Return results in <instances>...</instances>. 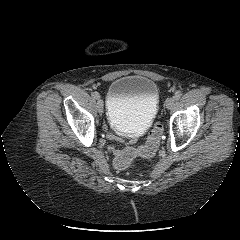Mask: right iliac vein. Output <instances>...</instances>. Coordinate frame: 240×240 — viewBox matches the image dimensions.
<instances>
[{
  "label": "right iliac vein",
  "mask_w": 240,
  "mask_h": 240,
  "mask_svg": "<svg viewBox=\"0 0 240 240\" xmlns=\"http://www.w3.org/2000/svg\"><path fill=\"white\" fill-rule=\"evenodd\" d=\"M103 106H104L103 100H102V99H98V100H97V109H98V112H99L100 114L103 113Z\"/></svg>",
  "instance_id": "63e3f726"
}]
</instances>
